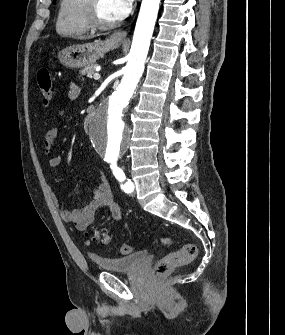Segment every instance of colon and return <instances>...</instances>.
<instances>
[{"instance_id":"1","label":"colon","mask_w":285,"mask_h":335,"mask_svg":"<svg viewBox=\"0 0 285 335\" xmlns=\"http://www.w3.org/2000/svg\"><path fill=\"white\" fill-rule=\"evenodd\" d=\"M37 81L41 93V103L44 107H48L51 103L53 96L52 77L47 67H42L37 74ZM93 238L107 243L110 240V235L105 230H95ZM160 241L164 245L171 243L169 236L160 237ZM131 246L122 244L119 247V252L123 255L131 252ZM197 255V247L192 243L184 244L178 251L169 253L157 261L154 267V274L158 277L165 276L172 272L177 267L184 266L192 262Z\"/></svg>"}]
</instances>
